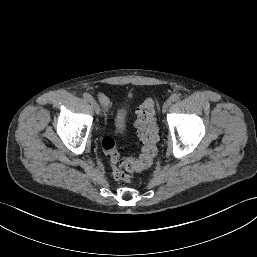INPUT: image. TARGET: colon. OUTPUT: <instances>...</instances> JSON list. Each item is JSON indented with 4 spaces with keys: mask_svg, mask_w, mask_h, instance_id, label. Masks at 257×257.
Wrapping results in <instances>:
<instances>
[{
    "mask_svg": "<svg viewBox=\"0 0 257 257\" xmlns=\"http://www.w3.org/2000/svg\"><path fill=\"white\" fill-rule=\"evenodd\" d=\"M137 133L141 142V153L137 157H123L118 151L112 137L106 136L102 140V148L112 167L115 179L129 182L127 173L140 172L150 167L157 155L159 140L155 122V108L152 99L141 103L137 110Z\"/></svg>",
    "mask_w": 257,
    "mask_h": 257,
    "instance_id": "5ec220e1",
    "label": "colon"
}]
</instances>
